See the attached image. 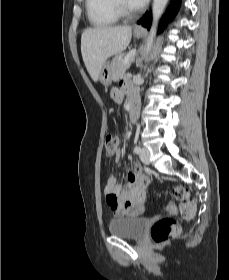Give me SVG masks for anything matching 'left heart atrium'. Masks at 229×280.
Listing matches in <instances>:
<instances>
[{"instance_id":"obj_1","label":"left heart atrium","mask_w":229,"mask_h":280,"mask_svg":"<svg viewBox=\"0 0 229 280\" xmlns=\"http://www.w3.org/2000/svg\"><path fill=\"white\" fill-rule=\"evenodd\" d=\"M148 0H128L129 4L134 7V8H139L143 5H145V3L147 2Z\"/></svg>"}]
</instances>
